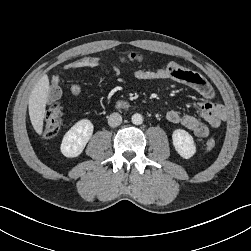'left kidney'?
<instances>
[{"instance_id": "left-kidney-1", "label": "left kidney", "mask_w": 251, "mask_h": 251, "mask_svg": "<svg viewBox=\"0 0 251 251\" xmlns=\"http://www.w3.org/2000/svg\"><path fill=\"white\" fill-rule=\"evenodd\" d=\"M172 141L177 153L184 159L191 158L196 153L193 137L183 129H176L172 133Z\"/></svg>"}]
</instances>
